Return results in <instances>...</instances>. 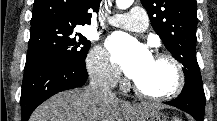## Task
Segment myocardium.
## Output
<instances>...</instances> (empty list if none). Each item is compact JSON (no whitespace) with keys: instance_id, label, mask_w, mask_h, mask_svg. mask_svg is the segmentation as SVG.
I'll return each instance as SVG.
<instances>
[{"instance_id":"f54148a6","label":"myocardium","mask_w":217,"mask_h":121,"mask_svg":"<svg viewBox=\"0 0 217 121\" xmlns=\"http://www.w3.org/2000/svg\"><path fill=\"white\" fill-rule=\"evenodd\" d=\"M153 58L158 60H164L168 62L172 67L174 71V77H175L172 87L166 92L152 93L142 89L134 80L133 89L139 96L148 100H152V101L172 100L183 91L186 84V76H185L183 66L181 65L179 60L170 53L158 52L155 55H153Z\"/></svg>"}]
</instances>
